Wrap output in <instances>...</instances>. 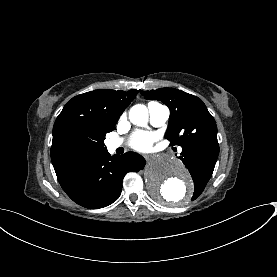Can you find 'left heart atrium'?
Segmentation results:
<instances>
[{"instance_id":"39dd6f15","label":"left heart atrium","mask_w":277,"mask_h":277,"mask_svg":"<svg viewBox=\"0 0 277 277\" xmlns=\"http://www.w3.org/2000/svg\"><path fill=\"white\" fill-rule=\"evenodd\" d=\"M154 137L150 132H135L130 140L129 145L140 152H148L152 149Z\"/></svg>"}]
</instances>
